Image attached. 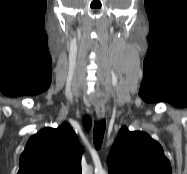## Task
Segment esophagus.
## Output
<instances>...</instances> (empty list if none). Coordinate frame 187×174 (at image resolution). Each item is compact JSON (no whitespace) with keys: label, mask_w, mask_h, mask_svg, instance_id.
<instances>
[{"label":"esophagus","mask_w":187,"mask_h":174,"mask_svg":"<svg viewBox=\"0 0 187 174\" xmlns=\"http://www.w3.org/2000/svg\"><path fill=\"white\" fill-rule=\"evenodd\" d=\"M96 116L98 119H103L105 116V109L104 108H96L95 109Z\"/></svg>","instance_id":"obj_1"}]
</instances>
